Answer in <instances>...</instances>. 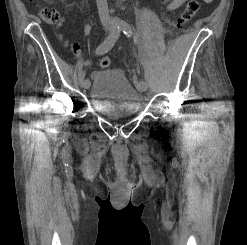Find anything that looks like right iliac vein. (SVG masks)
<instances>
[{
  "instance_id": "1",
  "label": "right iliac vein",
  "mask_w": 247,
  "mask_h": 245,
  "mask_svg": "<svg viewBox=\"0 0 247 245\" xmlns=\"http://www.w3.org/2000/svg\"><path fill=\"white\" fill-rule=\"evenodd\" d=\"M106 31H107V29H106ZM79 84H80L81 88H85V89L89 88V86H90L89 80H85V82H79Z\"/></svg>"
}]
</instances>
